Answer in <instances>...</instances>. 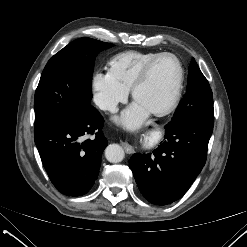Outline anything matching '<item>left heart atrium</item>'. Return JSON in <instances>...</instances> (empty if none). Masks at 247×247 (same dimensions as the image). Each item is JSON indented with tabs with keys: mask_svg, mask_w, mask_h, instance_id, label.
Returning a JSON list of instances; mask_svg holds the SVG:
<instances>
[{
	"mask_svg": "<svg viewBox=\"0 0 247 247\" xmlns=\"http://www.w3.org/2000/svg\"><path fill=\"white\" fill-rule=\"evenodd\" d=\"M149 113L150 111L140 103L134 102L120 116L116 117L115 120L127 128H136L147 118Z\"/></svg>",
	"mask_w": 247,
	"mask_h": 247,
	"instance_id": "obj_1",
	"label": "left heart atrium"
}]
</instances>
